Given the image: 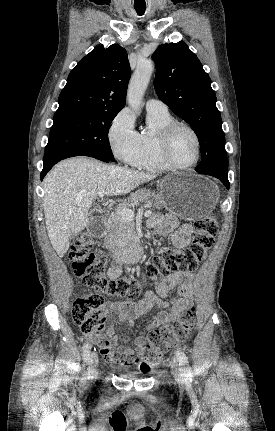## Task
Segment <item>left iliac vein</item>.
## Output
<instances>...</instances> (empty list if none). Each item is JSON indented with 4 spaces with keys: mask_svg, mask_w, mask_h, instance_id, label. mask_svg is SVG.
I'll return each instance as SVG.
<instances>
[{
    "mask_svg": "<svg viewBox=\"0 0 275 431\" xmlns=\"http://www.w3.org/2000/svg\"><path fill=\"white\" fill-rule=\"evenodd\" d=\"M171 369L176 381L179 383H182L184 381V374L180 369V367L178 366V364L176 363V361L171 362Z\"/></svg>",
    "mask_w": 275,
    "mask_h": 431,
    "instance_id": "left-iliac-vein-1",
    "label": "left iliac vein"
}]
</instances>
